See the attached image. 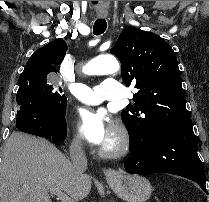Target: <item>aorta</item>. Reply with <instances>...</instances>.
Wrapping results in <instances>:
<instances>
[{
    "label": "aorta",
    "mask_w": 209,
    "mask_h": 202,
    "mask_svg": "<svg viewBox=\"0 0 209 202\" xmlns=\"http://www.w3.org/2000/svg\"><path fill=\"white\" fill-rule=\"evenodd\" d=\"M120 65L112 55H101L89 61L83 68L87 75L115 74L119 71Z\"/></svg>",
    "instance_id": "1"
}]
</instances>
